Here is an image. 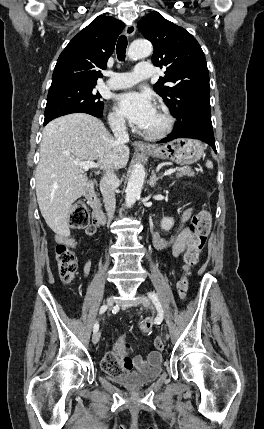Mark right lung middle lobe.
<instances>
[{"label":"right lung middle lobe","instance_id":"1","mask_svg":"<svg viewBox=\"0 0 264 429\" xmlns=\"http://www.w3.org/2000/svg\"><path fill=\"white\" fill-rule=\"evenodd\" d=\"M95 85L75 84L50 89L45 108V120L49 122L62 115L83 112L101 117L104 104Z\"/></svg>","mask_w":264,"mask_h":429}]
</instances>
